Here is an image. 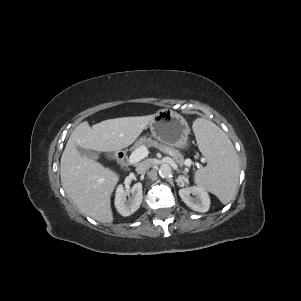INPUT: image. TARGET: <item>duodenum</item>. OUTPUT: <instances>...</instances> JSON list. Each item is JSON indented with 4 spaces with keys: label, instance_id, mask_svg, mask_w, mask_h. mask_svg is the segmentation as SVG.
<instances>
[{
    "label": "duodenum",
    "instance_id": "obj_1",
    "mask_svg": "<svg viewBox=\"0 0 301 301\" xmlns=\"http://www.w3.org/2000/svg\"><path fill=\"white\" fill-rule=\"evenodd\" d=\"M118 159H119V161L121 162V164L123 165V166H127V161H126V154H125V152H120L119 154H118Z\"/></svg>",
    "mask_w": 301,
    "mask_h": 301
}]
</instances>
